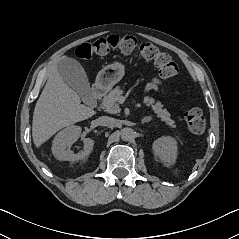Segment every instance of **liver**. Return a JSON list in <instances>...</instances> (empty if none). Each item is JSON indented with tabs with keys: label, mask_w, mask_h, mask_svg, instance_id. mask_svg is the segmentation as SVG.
<instances>
[{
	"label": "liver",
	"mask_w": 239,
	"mask_h": 239,
	"mask_svg": "<svg viewBox=\"0 0 239 239\" xmlns=\"http://www.w3.org/2000/svg\"><path fill=\"white\" fill-rule=\"evenodd\" d=\"M96 112L81 104L77 92L70 88L54 66L35 105L32 137L36 147L57 131L93 116Z\"/></svg>",
	"instance_id": "liver-1"
}]
</instances>
